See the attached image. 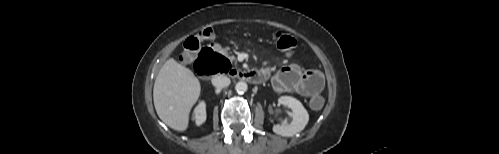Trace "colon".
<instances>
[{
	"label": "colon",
	"instance_id": "1",
	"mask_svg": "<svg viewBox=\"0 0 499 154\" xmlns=\"http://www.w3.org/2000/svg\"><path fill=\"white\" fill-rule=\"evenodd\" d=\"M212 37V31L210 29H206L195 36H192L187 39L185 45L186 49L182 54V59L186 60L190 57L192 51L197 50L199 47V43L202 40L209 39ZM274 40L277 48L282 51L284 54L288 56H292L297 51V41L291 35L284 32H276L274 35ZM215 66L217 71L226 72L230 70L229 61L221 56L216 55L215 57ZM324 101L323 98L319 95H315L310 99V107L313 110H320L323 107Z\"/></svg>",
	"mask_w": 499,
	"mask_h": 154
}]
</instances>
